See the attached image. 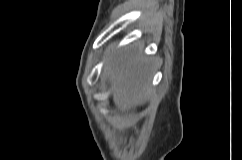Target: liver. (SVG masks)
Segmentation results:
<instances>
[{
	"instance_id": "liver-1",
	"label": "liver",
	"mask_w": 242,
	"mask_h": 160,
	"mask_svg": "<svg viewBox=\"0 0 242 160\" xmlns=\"http://www.w3.org/2000/svg\"><path fill=\"white\" fill-rule=\"evenodd\" d=\"M111 45L107 53L114 48ZM150 63L136 46L122 49L113 54L105 68L111 83L113 100L117 106L142 105L150 94Z\"/></svg>"
}]
</instances>
